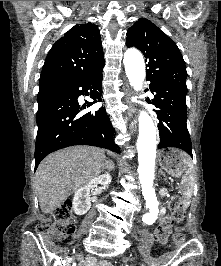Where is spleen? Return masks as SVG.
<instances>
[{
  "instance_id": "1",
  "label": "spleen",
  "mask_w": 221,
  "mask_h": 266,
  "mask_svg": "<svg viewBox=\"0 0 221 266\" xmlns=\"http://www.w3.org/2000/svg\"><path fill=\"white\" fill-rule=\"evenodd\" d=\"M180 155L183 157L184 162L187 166L186 176L182 179V193H183V203L187 207L190 204V199L192 197L193 186H194V177L192 175L193 164L188 155L184 152H180Z\"/></svg>"
}]
</instances>
